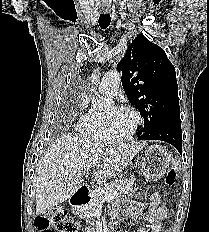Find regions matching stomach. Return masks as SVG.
I'll return each instance as SVG.
<instances>
[{"instance_id": "stomach-1", "label": "stomach", "mask_w": 209, "mask_h": 232, "mask_svg": "<svg viewBox=\"0 0 209 232\" xmlns=\"http://www.w3.org/2000/svg\"><path fill=\"white\" fill-rule=\"evenodd\" d=\"M141 169L147 180L160 179L166 174L170 163V153L159 145H151L142 152Z\"/></svg>"}]
</instances>
